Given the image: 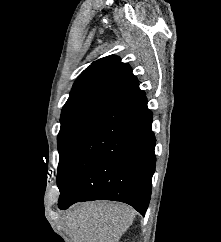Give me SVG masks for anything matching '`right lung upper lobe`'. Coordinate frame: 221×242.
<instances>
[{
	"instance_id": "obj_1",
	"label": "right lung upper lobe",
	"mask_w": 221,
	"mask_h": 242,
	"mask_svg": "<svg viewBox=\"0 0 221 242\" xmlns=\"http://www.w3.org/2000/svg\"><path fill=\"white\" fill-rule=\"evenodd\" d=\"M145 95L131 67L118 56L94 61L76 79L61 113V127L104 123Z\"/></svg>"
}]
</instances>
